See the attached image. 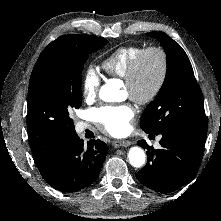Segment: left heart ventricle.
<instances>
[{
	"instance_id": "left-heart-ventricle-1",
	"label": "left heart ventricle",
	"mask_w": 221,
	"mask_h": 221,
	"mask_svg": "<svg viewBox=\"0 0 221 221\" xmlns=\"http://www.w3.org/2000/svg\"><path fill=\"white\" fill-rule=\"evenodd\" d=\"M160 73V60L155 54L148 55L142 65L137 90L141 94L149 92L156 83ZM127 89V88H126ZM127 92L129 93L128 89Z\"/></svg>"
}]
</instances>
